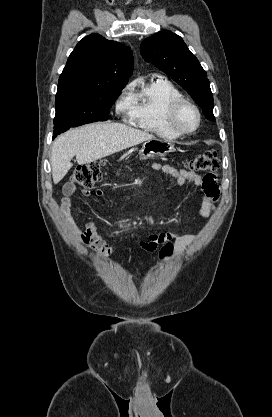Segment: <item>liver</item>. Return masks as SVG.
Masks as SVG:
<instances>
[{"label": "liver", "mask_w": 272, "mask_h": 417, "mask_svg": "<svg viewBox=\"0 0 272 417\" xmlns=\"http://www.w3.org/2000/svg\"><path fill=\"white\" fill-rule=\"evenodd\" d=\"M154 138L146 131L119 123H92L71 129L53 142L50 159L53 182L57 184L64 178L74 156L83 165Z\"/></svg>", "instance_id": "1"}]
</instances>
